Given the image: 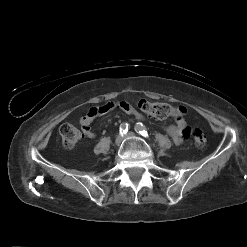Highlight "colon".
<instances>
[{"label":"colon","mask_w":247,"mask_h":247,"mask_svg":"<svg viewBox=\"0 0 247 247\" xmlns=\"http://www.w3.org/2000/svg\"><path fill=\"white\" fill-rule=\"evenodd\" d=\"M138 108L145 114L157 118L165 119L168 117L182 118L185 115L184 107H174L164 102H152L149 100H140ZM62 144L67 149L74 148L82 139L80 130L72 124L65 123L59 129ZM192 138L197 147H203L206 144V134L201 128L192 130Z\"/></svg>","instance_id":"obj_1"}]
</instances>
